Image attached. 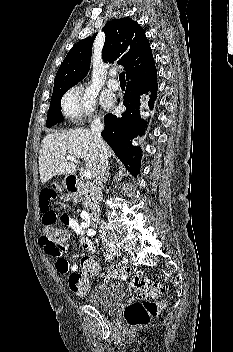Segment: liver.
I'll return each instance as SVG.
<instances>
[{
    "label": "liver",
    "instance_id": "obj_1",
    "mask_svg": "<svg viewBox=\"0 0 233 352\" xmlns=\"http://www.w3.org/2000/svg\"><path fill=\"white\" fill-rule=\"evenodd\" d=\"M107 155L113 152L106 145ZM67 156L84 159L87 171L95 177L99 152L96 142L87 129L77 128L62 133L47 134L41 144L39 155L40 180L44 184L55 175H69L76 172V163Z\"/></svg>",
    "mask_w": 233,
    "mask_h": 352
}]
</instances>
